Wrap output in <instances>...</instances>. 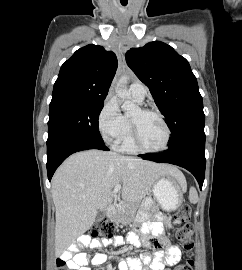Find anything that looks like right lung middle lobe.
I'll use <instances>...</instances> for the list:
<instances>
[{"instance_id":"obj_1","label":"right lung middle lobe","mask_w":242,"mask_h":270,"mask_svg":"<svg viewBox=\"0 0 242 270\" xmlns=\"http://www.w3.org/2000/svg\"><path fill=\"white\" fill-rule=\"evenodd\" d=\"M103 102L63 103L50 106L47 149L67 139L104 143L98 128Z\"/></svg>"}]
</instances>
